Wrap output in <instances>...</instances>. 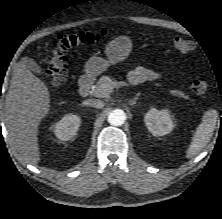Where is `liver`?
Returning a JSON list of instances; mask_svg holds the SVG:
<instances>
[{
	"instance_id": "6515ba94",
	"label": "liver",
	"mask_w": 222,
	"mask_h": 219,
	"mask_svg": "<svg viewBox=\"0 0 222 219\" xmlns=\"http://www.w3.org/2000/svg\"><path fill=\"white\" fill-rule=\"evenodd\" d=\"M26 59L15 64L5 100V119L15 149L25 162L35 165L40 160L38 126L50 110V94Z\"/></svg>"
}]
</instances>
